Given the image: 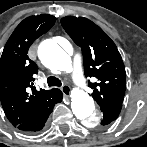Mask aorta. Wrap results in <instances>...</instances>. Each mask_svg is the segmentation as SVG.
I'll return each instance as SVG.
<instances>
[{
	"mask_svg": "<svg viewBox=\"0 0 147 147\" xmlns=\"http://www.w3.org/2000/svg\"><path fill=\"white\" fill-rule=\"evenodd\" d=\"M63 41L71 48L67 40ZM38 56L42 63L54 72L71 69L70 56L53 40H45L39 45ZM71 108L75 117L89 127L97 125L102 118V114L96 110L92 97L83 90L73 91Z\"/></svg>",
	"mask_w": 147,
	"mask_h": 147,
	"instance_id": "762f6f07",
	"label": "aorta"
}]
</instances>
